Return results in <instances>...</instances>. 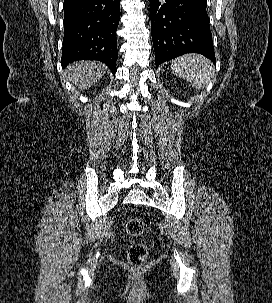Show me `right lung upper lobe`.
Returning a JSON list of instances; mask_svg holds the SVG:
<instances>
[{
	"instance_id": "1",
	"label": "right lung upper lobe",
	"mask_w": 272,
	"mask_h": 303,
	"mask_svg": "<svg viewBox=\"0 0 272 303\" xmlns=\"http://www.w3.org/2000/svg\"><path fill=\"white\" fill-rule=\"evenodd\" d=\"M74 1H76V0H64V4L72 3Z\"/></svg>"
}]
</instances>
